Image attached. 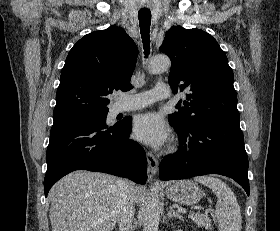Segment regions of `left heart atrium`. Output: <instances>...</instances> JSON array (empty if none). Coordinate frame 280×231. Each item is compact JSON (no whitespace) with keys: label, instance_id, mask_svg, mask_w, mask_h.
Wrapping results in <instances>:
<instances>
[{"label":"left heart atrium","instance_id":"obj_1","mask_svg":"<svg viewBox=\"0 0 280 231\" xmlns=\"http://www.w3.org/2000/svg\"><path fill=\"white\" fill-rule=\"evenodd\" d=\"M132 136L147 145L160 147L169 140L170 130L159 115L144 113L135 118Z\"/></svg>","mask_w":280,"mask_h":231}]
</instances>
